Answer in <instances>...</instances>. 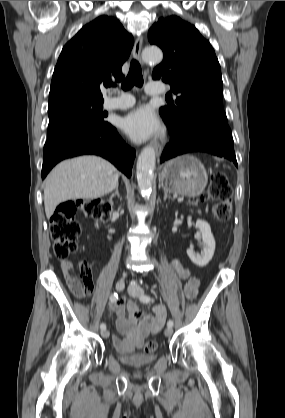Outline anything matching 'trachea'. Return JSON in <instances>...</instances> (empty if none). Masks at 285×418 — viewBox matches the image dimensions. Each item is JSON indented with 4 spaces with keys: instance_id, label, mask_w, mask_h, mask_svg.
<instances>
[{
    "instance_id": "1",
    "label": "trachea",
    "mask_w": 285,
    "mask_h": 418,
    "mask_svg": "<svg viewBox=\"0 0 285 418\" xmlns=\"http://www.w3.org/2000/svg\"><path fill=\"white\" fill-rule=\"evenodd\" d=\"M134 85L141 87L143 85V76L141 66L136 60H132L130 63L129 73L122 83L123 90H129Z\"/></svg>"
}]
</instances>
